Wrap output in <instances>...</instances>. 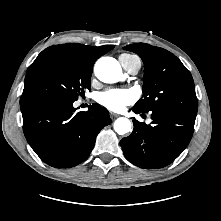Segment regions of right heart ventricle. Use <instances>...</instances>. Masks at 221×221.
<instances>
[{"mask_svg": "<svg viewBox=\"0 0 221 221\" xmlns=\"http://www.w3.org/2000/svg\"><path fill=\"white\" fill-rule=\"evenodd\" d=\"M121 56L127 57V58H134V57H136V56L131 55V54H122Z\"/></svg>", "mask_w": 221, "mask_h": 221, "instance_id": "obj_1", "label": "right heart ventricle"}]
</instances>
